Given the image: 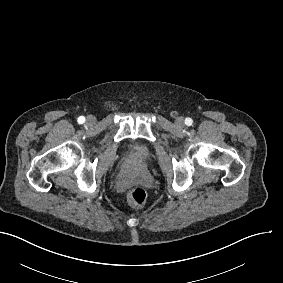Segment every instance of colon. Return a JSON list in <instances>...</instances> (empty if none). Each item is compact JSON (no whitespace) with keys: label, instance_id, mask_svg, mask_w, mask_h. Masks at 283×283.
I'll list each match as a JSON object with an SVG mask.
<instances>
[{"label":"colon","instance_id":"5ec220e1","mask_svg":"<svg viewBox=\"0 0 283 283\" xmlns=\"http://www.w3.org/2000/svg\"><path fill=\"white\" fill-rule=\"evenodd\" d=\"M147 197V192L144 188L136 187L129 192L127 199L132 206L140 207L146 202Z\"/></svg>","mask_w":283,"mask_h":283}]
</instances>
